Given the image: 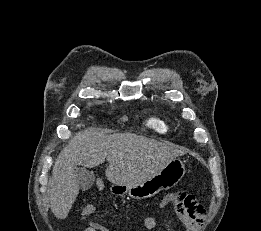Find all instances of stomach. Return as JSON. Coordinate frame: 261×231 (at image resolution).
Returning <instances> with one entry per match:
<instances>
[{
  "mask_svg": "<svg viewBox=\"0 0 261 231\" xmlns=\"http://www.w3.org/2000/svg\"><path fill=\"white\" fill-rule=\"evenodd\" d=\"M185 164L179 158L173 159L160 172L141 183L130 185L115 184L111 191L115 194H127L133 199L141 200L158 194L161 190H168L183 178Z\"/></svg>",
  "mask_w": 261,
  "mask_h": 231,
  "instance_id": "stomach-1",
  "label": "stomach"
}]
</instances>
